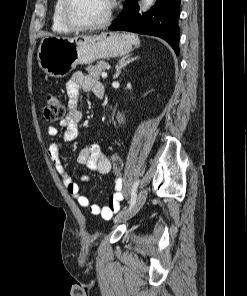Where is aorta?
<instances>
[{
  "label": "aorta",
  "mask_w": 247,
  "mask_h": 296,
  "mask_svg": "<svg viewBox=\"0 0 247 296\" xmlns=\"http://www.w3.org/2000/svg\"><path fill=\"white\" fill-rule=\"evenodd\" d=\"M154 2L155 0H143L141 10L142 11L148 10L153 5Z\"/></svg>",
  "instance_id": "1"
}]
</instances>
